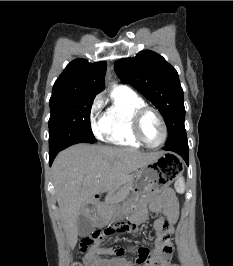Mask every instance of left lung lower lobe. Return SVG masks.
<instances>
[{
  "instance_id": "1",
  "label": "left lung lower lobe",
  "mask_w": 233,
  "mask_h": 266,
  "mask_svg": "<svg viewBox=\"0 0 233 266\" xmlns=\"http://www.w3.org/2000/svg\"><path fill=\"white\" fill-rule=\"evenodd\" d=\"M164 150L179 154L188 165V142L186 131L179 133L177 136L167 141Z\"/></svg>"
}]
</instances>
